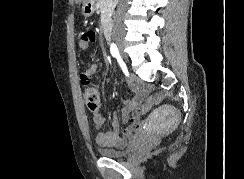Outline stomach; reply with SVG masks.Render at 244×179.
Listing matches in <instances>:
<instances>
[{
  "label": "stomach",
  "instance_id": "1",
  "mask_svg": "<svg viewBox=\"0 0 244 179\" xmlns=\"http://www.w3.org/2000/svg\"><path fill=\"white\" fill-rule=\"evenodd\" d=\"M95 12V0H86L82 6L83 16H91Z\"/></svg>",
  "mask_w": 244,
  "mask_h": 179
}]
</instances>
